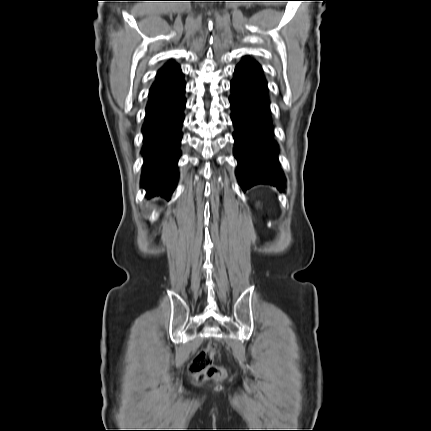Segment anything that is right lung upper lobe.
Masks as SVG:
<instances>
[{"instance_id": "obj_1", "label": "right lung upper lobe", "mask_w": 431, "mask_h": 431, "mask_svg": "<svg viewBox=\"0 0 431 431\" xmlns=\"http://www.w3.org/2000/svg\"><path fill=\"white\" fill-rule=\"evenodd\" d=\"M180 77H182V71L180 67L173 62L167 63L160 69L158 77L155 83L152 85L149 94L155 93L165 88Z\"/></svg>"}]
</instances>
